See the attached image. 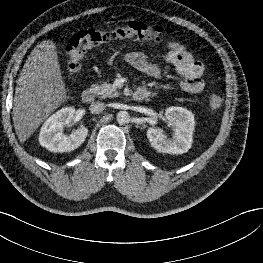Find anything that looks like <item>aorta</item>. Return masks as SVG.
<instances>
[{"label":"aorta","instance_id":"1","mask_svg":"<svg viewBox=\"0 0 263 263\" xmlns=\"http://www.w3.org/2000/svg\"><path fill=\"white\" fill-rule=\"evenodd\" d=\"M116 119L119 124H126L130 121V116L126 111H119L117 113Z\"/></svg>","mask_w":263,"mask_h":263}]
</instances>
